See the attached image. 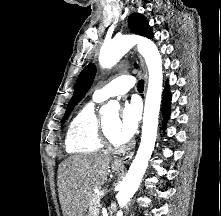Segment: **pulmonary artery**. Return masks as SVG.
<instances>
[{
  "label": "pulmonary artery",
  "mask_w": 221,
  "mask_h": 216,
  "mask_svg": "<svg viewBox=\"0 0 221 216\" xmlns=\"http://www.w3.org/2000/svg\"><path fill=\"white\" fill-rule=\"evenodd\" d=\"M135 84V80L130 75H121L103 87L97 89L93 94V99L97 102L105 101L111 97L127 93Z\"/></svg>",
  "instance_id": "e3ab8cb5"
}]
</instances>
